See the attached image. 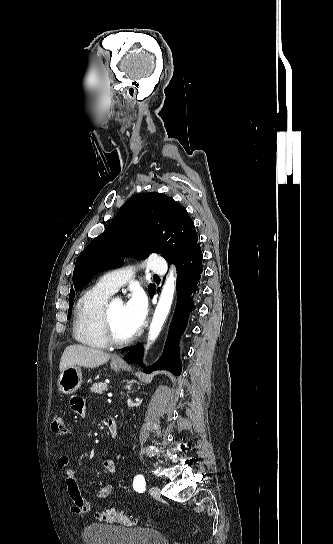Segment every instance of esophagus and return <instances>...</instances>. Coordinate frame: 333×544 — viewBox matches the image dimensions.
Instances as JSON below:
<instances>
[{"mask_svg":"<svg viewBox=\"0 0 333 544\" xmlns=\"http://www.w3.org/2000/svg\"><path fill=\"white\" fill-rule=\"evenodd\" d=\"M114 360L118 362H122V358L119 355L114 356Z\"/></svg>","mask_w":333,"mask_h":544,"instance_id":"1","label":"esophagus"}]
</instances>
